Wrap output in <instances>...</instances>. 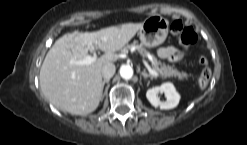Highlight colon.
I'll return each instance as SVG.
<instances>
[{"mask_svg":"<svg viewBox=\"0 0 247 145\" xmlns=\"http://www.w3.org/2000/svg\"><path fill=\"white\" fill-rule=\"evenodd\" d=\"M171 32L178 36L181 44L191 45L197 41V35L192 27L184 26L181 20H175L170 26ZM199 64L202 66V71L198 80V84L201 88L208 85L211 79V70L208 67V60L206 57L202 56L199 58Z\"/></svg>","mask_w":247,"mask_h":145,"instance_id":"obj_1","label":"colon"}]
</instances>
